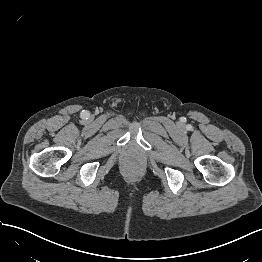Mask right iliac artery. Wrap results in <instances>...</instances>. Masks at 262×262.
Returning <instances> with one entry per match:
<instances>
[{"instance_id": "right-iliac-artery-1", "label": "right iliac artery", "mask_w": 262, "mask_h": 262, "mask_svg": "<svg viewBox=\"0 0 262 262\" xmlns=\"http://www.w3.org/2000/svg\"><path fill=\"white\" fill-rule=\"evenodd\" d=\"M88 115H89V113H88V112H86V113H85V116H88Z\"/></svg>"}]
</instances>
